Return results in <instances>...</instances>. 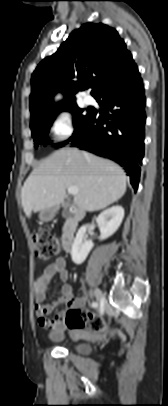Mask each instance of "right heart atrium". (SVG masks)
I'll return each mask as SVG.
<instances>
[{"label":"right heart atrium","mask_w":168,"mask_h":406,"mask_svg":"<svg viewBox=\"0 0 168 406\" xmlns=\"http://www.w3.org/2000/svg\"><path fill=\"white\" fill-rule=\"evenodd\" d=\"M74 118L70 112L61 111L51 120L49 129L56 142H61L70 137L74 131Z\"/></svg>","instance_id":"d8ad5b80"}]
</instances>
